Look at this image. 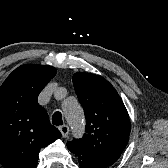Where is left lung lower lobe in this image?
<instances>
[{"instance_id": "1", "label": "left lung lower lobe", "mask_w": 168, "mask_h": 168, "mask_svg": "<svg viewBox=\"0 0 168 168\" xmlns=\"http://www.w3.org/2000/svg\"><path fill=\"white\" fill-rule=\"evenodd\" d=\"M81 168H107L108 166L97 162L87 156L76 155Z\"/></svg>"}]
</instances>
